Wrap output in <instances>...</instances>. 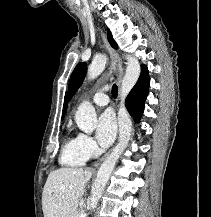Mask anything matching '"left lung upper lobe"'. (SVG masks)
<instances>
[{"instance_id":"5c2ea615","label":"left lung upper lobe","mask_w":211,"mask_h":217,"mask_svg":"<svg viewBox=\"0 0 211 217\" xmlns=\"http://www.w3.org/2000/svg\"><path fill=\"white\" fill-rule=\"evenodd\" d=\"M108 40L111 44V46L115 49H117V44L112 38V35L110 31L108 30ZM86 64L85 63H79L74 71L72 72V75L70 77V82H69V98H71L75 92L78 90L80 85L83 82L84 76L86 74Z\"/></svg>"}]
</instances>
